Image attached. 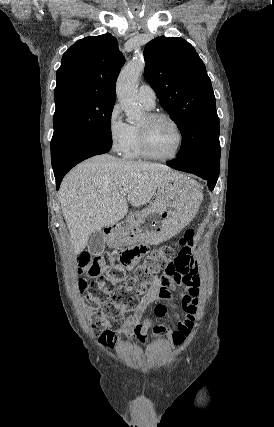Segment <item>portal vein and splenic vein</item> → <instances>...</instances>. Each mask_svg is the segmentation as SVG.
Masks as SVG:
<instances>
[{"instance_id":"1","label":"portal vein and splenic vein","mask_w":274,"mask_h":427,"mask_svg":"<svg viewBox=\"0 0 274 427\" xmlns=\"http://www.w3.org/2000/svg\"><path fill=\"white\" fill-rule=\"evenodd\" d=\"M120 194H122V196H127L128 190H120Z\"/></svg>"}]
</instances>
